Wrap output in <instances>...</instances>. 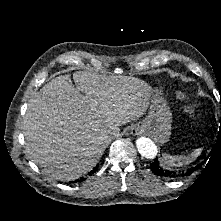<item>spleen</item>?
<instances>
[{"label": "spleen", "mask_w": 221, "mask_h": 221, "mask_svg": "<svg viewBox=\"0 0 221 221\" xmlns=\"http://www.w3.org/2000/svg\"><path fill=\"white\" fill-rule=\"evenodd\" d=\"M201 152L202 149L198 148L187 156H172L168 154H163V162L167 167H180L195 160L201 154Z\"/></svg>", "instance_id": "1"}]
</instances>
